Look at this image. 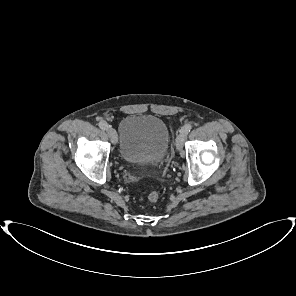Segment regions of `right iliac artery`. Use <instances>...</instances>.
<instances>
[{
    "instance_id": "right-iliac-artery-1",
    "label": "right iliac artery",
    "mask_w": 296,
    "mask_h": 296,
    "mask_svg": "<svg viewBox=\"0 0 296 296\" xmlns=\"http://www.w3.org/2000/svg\"><path fill=\"white\" fill-rule=\"evenodd\" d=\"M99 127L102 129V130H107L110 126L105 122V121H101L99 123Z\"/></svg>"
}]
</instances>
